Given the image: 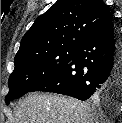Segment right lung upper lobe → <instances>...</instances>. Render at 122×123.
Returning <instances> with one entry per match:
<instances>
[{"instance_id": "1", "label": "right lung upper lobe", "mask_w": 122, "mask_h": 123, "mask_svg": "<svg viewBox=\"0 0 122 123\" xmlns=\"http://www.w3.org/2000/svg\"><path fill=\"white\" fill-rule=\"evenodd\" d=\"M111 20L102 0H57L23 36L14 62L50 51L77 49L93 31Z\"/></svg>"}]
</instances>
